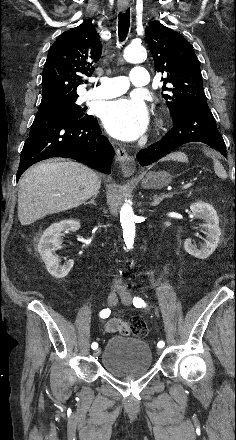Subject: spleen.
<instances>
[{
  "instance_id": "obj_1",
  "label": "spleen",
  "mask_w": 236,
  "mask_h": 440,
  "mask_svg": "<svg viewBox=\"0 0 236 440\" xmlns=\"http://www.w3.org/2000/svg\"><path fill=\"white\" fill-rule=\"evenodd\" d=\"M214 170L215 173L222 179H226L227 178V173L224 170V167L216 160H214Z\"/></svg>"
}]
</instances>
